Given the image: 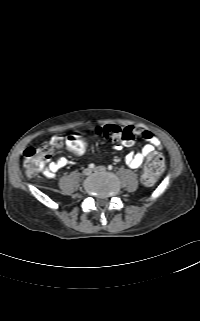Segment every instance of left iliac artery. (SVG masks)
<instances>
[{"label": "left iliac artery", "instance_id": "44dca946", "mask_svg": "<svg viewBox=\"0 0 200 321\" xmlns=\"http://www.w3.org/2000/svg\"><path fill=\"white\" fill-rule=\"evenodd\" d=\"M108 169H109V170H112V169H113V166H112V165H109V166H108Z\"/></svg>", "mask_w": 200, "mask_h": 321}]
</instances>
